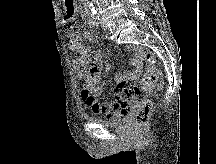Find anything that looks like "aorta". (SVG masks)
I'll return each instance as SVG.
<instances>
[{
    "mask_svg": "<svg viewBox=\"0 0 216 164\" xmlns=\"http://www.w3.org/2000/svg\"><path fill=\"white\" fill-rule=\"evenodd\" d=\"M98 0H91V4H89V6H91L93 8V3H95Z\"/></svg>",
    "mask_w": 216,
    "mask_h": 164,
    "instance_id": "obj_1",
    "label": "aorta"
}]
</instances>
